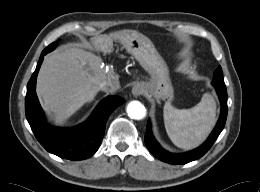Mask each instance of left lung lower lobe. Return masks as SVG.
I'll return each instance as SVG.
<instances>
[{
	"label": "left lung lower lobe",
	"mask_w": 260,
	"mask_h": 192,
	"mask_svg": "<svg viewBox=\"0 0 260 192\" xmlns=\"http://www.w3.org/2000/svg\"><path fill=\"white\" fill-rule=\"evenodd\" d=\"M212 85L215 87L221 103V112L219 120L214 127L213 131L209 135L208 139L198 148L188 151L182 154H173L163 149L159 143L155 140L151 132L150 120H148L147 131L145 135V144L148 150L156 156L158 159L174 164H186L202 157L214 144L219 134L224 128L227 118V90L224 82L212 81Z\"/></svg>",
	"instance_id": "0a47b994"
}]
</instances>
